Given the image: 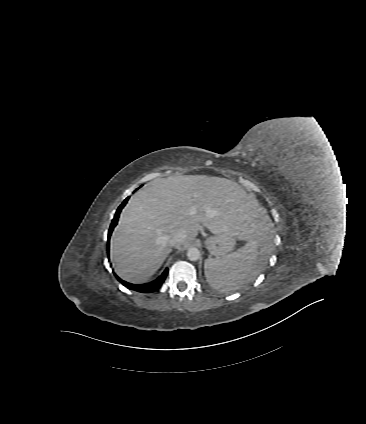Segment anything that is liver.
Here are the masks:
<instances>
[{
	"mask_svg": "<svg viewBox=\"0 0 366 424\" xmlns=\"http://www.w3.org/2000/svg\"><path fill=\"white\" fill-rule=\"evenodd\" d=\"M201 227L238 240L267 241L270 223L253 194L238 183L206 175L156 179L128 201L111 236L110 256L125 281H147L172 251L170 238L184 231L183 245Z\"/></svg>",
	"mask_w": 366,
	"mask_h": 424,
	"instance_id": "liver-1",
	"label": "liver"
}]
</instances>
